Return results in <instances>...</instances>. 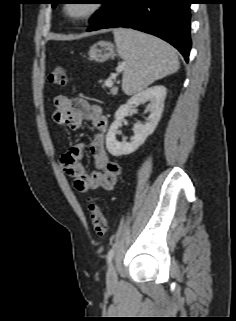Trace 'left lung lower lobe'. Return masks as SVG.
Here are the masks:
<instances>
[{
  "label": "left lung lower lobe",
  "mask_w": 236,
  "mask_h": 321,
  "mask_svg": "<svg viewBox=\"0 0 236 321\" xmlns=\"http://www.w3.org/2000/svg\"><path fill=\"white\" fill-rule=\"evenodd\" d=\"M192 3L194 0H113L87 31L124 27L146 32L173 45L188 62Z\"/></svg>",
  "instance_id": "1"
}]
</instances>
